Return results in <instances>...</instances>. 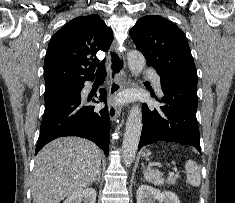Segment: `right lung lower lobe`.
<instances>
[{"label": "right lung lower lobe", "mask_w": 235, "mask_h": 203, "mask_svg": "<svg viewBox=\"0 0 235 203\" xmlns=\"http://www.w3.org/2000/svg\"><path fill=\"white\" fill-rule=\"evenodd\" d=\"M82 80L65 92L45 100V111L35 154L48 142L62 136H78L89 139L108 155L110 118L107 107L95 111L94 106L81 103L80 92L86 80ZM100 101L106 102V91L100 89ZM93 102L98 103L93 100Z\"/></svg>", "instance_id": "1"}]
</instances>
